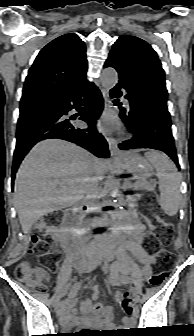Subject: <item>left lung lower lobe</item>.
Masks as SVG:
<instances>
[{
  "mask_svg": "<svg viewBox=\"0 0 194 336\" xmlns=\"http://www.w3.org/2000/svg\"><path fill=\"white\" fill-rule=\"evenodd\" d=\"M104 67H113V64L106 61ZM122 92H127L125 98L129 100L130 107L120 108V118L125 122L133 137L119 144V148L122 150L137 148L160 150L179 167L168 108L145 102L133 86L120 78L118 84L110 91V96L118 98Z\"/></svg>",
  "mask_w": 194,
  "mask_h": 336,
  "instance_id": "0a47b994",
  "label": "left lung lower lobe"
}]
</instances>
